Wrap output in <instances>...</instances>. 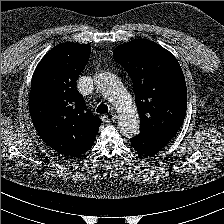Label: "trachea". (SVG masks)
I'll use <instances>...</instances> for the list:
<instances>
[{"label":"trachea","instance_id":"3493384b","mask_svg":"<svg viewBox=\"0 0 224 224\" xmlns=\"http://www.w3.org/2000/svg\"><path fill=\"white\" fill-rule=\"evenodd\" d=\"M96 112L99 114H106L108 113V106L104 103L98 105Z\"/></svg>","mask_w":224,"mask_h":224}]
</instances>
